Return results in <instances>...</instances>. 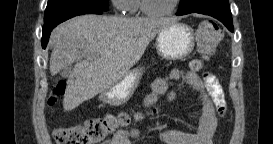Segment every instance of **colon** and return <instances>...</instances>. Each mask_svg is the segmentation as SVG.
Returning a JSON list of instances; mask_svg holds the SVG:
<instances>
[{
  "label": "colon",
  "instance_id": "colon-1",
  "mask_svg": "<svg viewBox=\"0 0 273 144\" xmlns=\"http://www.w3.org/2000/svg\"><path fill=\"white\" fill-rule=\"evenodd\" d=\"M221 38L218 24L213 20H204L197 30V40L203 58L211 56ZM200 61L193 62V68H199ZM65 81H59L49 99L54 104L65 93ZM130 118L125 113L109 114L102 118L87 120L82 125L59 127L54 130V137L58 144H94L113 134L118 128L127 125Z\"/></svg>",
  "mask_w": 273,
  "mask_h": 144
}]
</instances>
